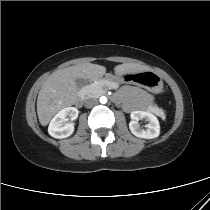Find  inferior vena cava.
<instances>
[{
    "mask_svg": "<svg viewBox=\"0 0 210 210\" xmlns=\"http://www.w3.org/2000/svg\"><path fill=\"white\" fill-rule=\"evenodd\" d=\"M96 104H97V100L95 98H89V99L85 100L84 105L86 108H92Z\"/></svg>",
    "mask_w": 210,
    "mask_h": 210,
    "instance_id": "1",
    "label": "inferior vena cava"
}]
</instances>
